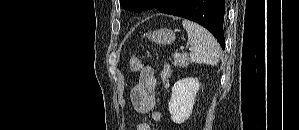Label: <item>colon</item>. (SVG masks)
<instances>
[{
    "instance_id": "1",
    "label": "colon",
    "mask_w": 299,
    "mask_h": 130,
    "mask_svg": "<svg viewBox=\"0 0 299 130\" xmlns=\"http://www.w3.org/2000/svg\"><path fill=\"white\" fill-rule=\"evenodd\" d=\"M142 68V62L139 57H133L130 60V71L133 73H137L141 70ZM169 72V67H165L163 71V77L166 76V74Z\"/></svg>"
}]
</instances>
